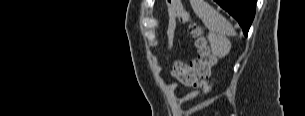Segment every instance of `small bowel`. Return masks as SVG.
<instances>
[{
  "label": "small bowel",
  "mask_w": 305,
  "mask_h": 116,
  "mask_svg": "<svg viewBox=\"0 0 305 116\" xmlns=\"http://www.w3.org/2000/svg\"><path fill=\"white\" fill-rule=\"evenodd\" d=\"M197 93L196 92H189L188 94H186L181 100L183 102H187L190 101L192 99H194L196 97ZM206 104L205 103H201L198 104L194 107H192L189 111H188V115L194 114L195 112H197L198 110H200L201 108H203Z\"/></svg>",
  "instance_id": "obj_1"
}]
</instances>
